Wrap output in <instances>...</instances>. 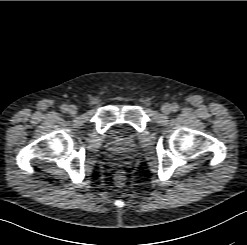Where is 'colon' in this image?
Segmentation results:
<instances>
[{
  "mask_svg": "<svg viewBox=\"0 0 247 245\" xmlns=\"http://www.w3.org/2000/svg\"><path fill=\"white\" fill-rule=\"evenodd\" d=\"M116 183L118 186H123L124 185V182H125V175L123 172H118L117 175H116Z\"/></svg>",
  "mask_w": 247,
  "mask_h": 245,
  "instance_id": "1",
  "label": "colon"
}]
</instances>
